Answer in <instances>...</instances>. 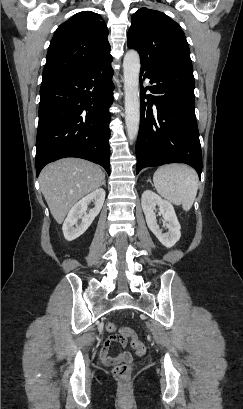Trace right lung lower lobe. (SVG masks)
Masks as SVG:
<instances>
[{
	"label": "right lung lower lobe",
	"mask_w": 243,
	"mask_h": 409,
	"mask_svg": "<svg viewBox=\"0 0 243 409\" xmlns=\"http://www.w3.org/2000/svg\"><path fill=\"white\" fill-rule=\"evenodd\" d=\"M111 59L75 75L42 82L36 140V174L64 157L100 164L110 174Z\"/></svg>",
	"instance_id": "obj_1"
}]
</instances>
